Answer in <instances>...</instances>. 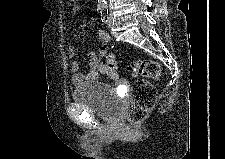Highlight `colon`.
Instances as JSON below:
<instances>
[{"label": "colon", "instance_id": "1", "mask_svg": "<svg viewBox=\"0 0 225 159\" xmlns=\"http://www.w3.org/2000/svg\"><path fill=\"white\" fill-rule=\"evenodd\" d=\"M71 2L75 0H69ZM101 55L106 58V67L111 76H116L118 65L114 52L101 50ZM130 69L136 76H142L150 79H160L163 70L160 64L152 59H137L130 64ZM131 101L127 109V120L130 123H139L143 121L152 110L157 92L155 87L147 80H136L132 86Z\"/></svg>", "mask_w": 225, "mask_h": 159}]
</instances>
